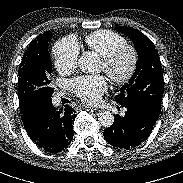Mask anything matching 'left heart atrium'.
Returning a JSON list of instances; mask_svg holds the SVG:
<instances>
[{"instance_id":"1","label":"left heart atrium","mask_w":183,"mask_h":183,"mask_svg":"<svg viewBox=\"0 0 183 183\" xmlns=\"http://www.w3.org/2000/svg\"><path fill=\"white\" fill-rule=\"evenodd\" d=\"M71 90L87 103H96L108 89V82L103 75L79 76L72 80Z\"/></svg>"}]
</instances>
